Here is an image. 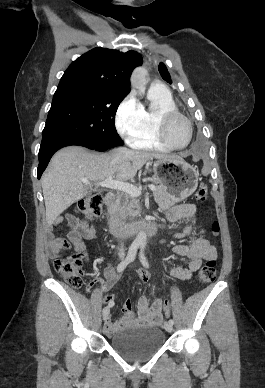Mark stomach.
I'll return each instance as SVG.
<instances>
[{
    "label": "stomach",
    "instance_id": "stomach-1",
    "mask_svg": "<svg viewBox=\"0 0 265 388\" xmlns=\"http://www.w3.org/2000/svg\"><path fill=\"white\" fill-rule=\"evenodd\" d=\"M154 178L180 202L194 193L198 186L196 169L182 158L157 159L153 164Z\"/></svg>",
    "mask_w": 265,
    "mask_h": 388
}]
</instances>
